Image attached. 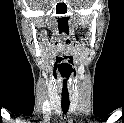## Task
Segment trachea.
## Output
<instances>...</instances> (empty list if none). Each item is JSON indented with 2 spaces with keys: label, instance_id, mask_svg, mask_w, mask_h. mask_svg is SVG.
Segmentation results:
<instances>
[{
  "label": "trachea",
  "instance_id": "obj_1",
  "mask_svg": "<svg viewBox=\"0 0 124 123\" xmlns=\"http://www.w3.org/2000/svg\"><path fill=\"white\" fill-rule=\"evenodd\" d=\"M69 106H70L69 97H62V99H61V108H62L63 114H66L68 112Z\"/></svg>",
  "mask_w": 124,
  "mask_h": 123
}]
</instances>
